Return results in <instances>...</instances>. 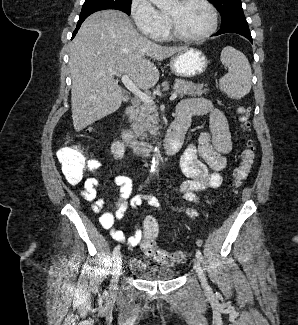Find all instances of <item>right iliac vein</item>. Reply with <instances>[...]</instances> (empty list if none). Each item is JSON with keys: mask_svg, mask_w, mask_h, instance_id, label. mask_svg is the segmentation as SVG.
Listing matches in <instances>:
<instances>
[{"mask_svg": "<svg viewBox=\"0 0 298 325\" xmlns=\"http://www.w3.org/2000/svg\"><path fill=\"white\" fill-rule=\"evenodd\" d=\"M121 270H122V256L119 254L116 257V261L113 269V277L110 285V290L112 293H115L117 290V284H118L119 275L121 274Z\"/></svg>", "mask_w": 298, "mask_h": 325, "instance_id": "63e3f726", "label": "right iliac vein"}]
</instances>
